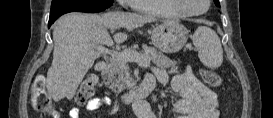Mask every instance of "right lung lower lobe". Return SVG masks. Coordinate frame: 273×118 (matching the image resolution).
<instances>
[{"instance_id":"right-lung-lower-lobe-1","label":"right lung lower lobe","mask_w":273,"mask_h":118,"mask_svg":"<svg viewBox=\"0 0 273 118\" xmlns=\"http://www.w3.org/2000/svg\"><path fill=\"white\" fill-rule=\"evenodd\" d=\"M73 11L94 13V12H101L103 10L81 7V6H77V5H73V4H69L65 2H60L59 4H52L48 27H50L54 23V21L61 15L65 13L73 12Z\"/></svg>"}]
</instances>
